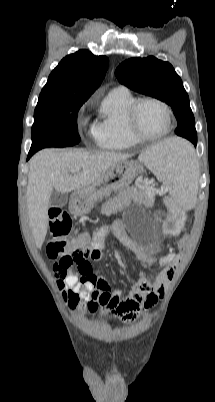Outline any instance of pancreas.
I'll return each instance as SVG.
<instances>
[{"instance_id":"obj_1","label":"pancreas","mask_w":215,"mask_h":402,"mask_svg":"<svg viewBox=\"0 0 215 402\" xmlns=\"http://www.w3.org/2000/svg\"><path fill=\"white\" fill-rule=\"evenodd\" d=\"M146 190H154L152 186H141L139 187V194H145ZM137 192L136 187H127L117 191L116 196L110 198L101 207V213L103 215H111L122 211L126 206L131 204L133 193Z\"/></svg>"}]
</instances>
